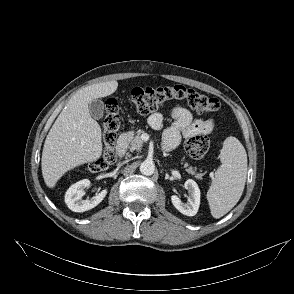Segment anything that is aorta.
Returning <instances> with one entry per match:
<instances>
[{
  "mask_svg": "<svg viewBox=\"0 0 294 294\" xmlns=\"http://www.w3.org/2000/svg\"><path fill=\"white\" fill-rule=\"evenodd\" d=\"M155 171V164L153 161L145 160L140 164V172L143 175L150 176Z\"/></svg>",
  "mask_w": 294,
  "mask_h": 294,
  "instance_id": "762f6f07",
  "label": "aorta"
}]
</instances>
